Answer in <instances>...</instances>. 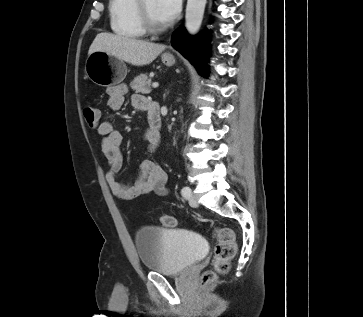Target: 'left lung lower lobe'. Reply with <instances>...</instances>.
Segmentation results:
<instances>
[{
	"mask_svg": "<svg viewBox=\"0 0 363 317\" xmlns=\"http://www.w3.org/2000/svg\"><path fill=\"white\" fill-rule=\"evenodd\" d=\"M172 46L182 53L197 68L202 76H206L208 58V39L205 36L190 37L184 29H177L171 37Z\"/></svg>",
	"mask_w": 363,
	"mask_h": 317,
	"instance_id": "0a47b994",
	"label": "left lung lower lobe"
}]
</instances>
